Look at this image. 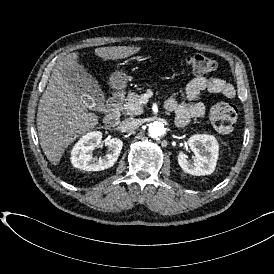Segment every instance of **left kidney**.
Instances as JSON below:
<instances>
[{
    "label": "left kidney",
    "mask_w": 274,
    "mask_h": 274,
    "mask_svg": "<svg viewBox=\"0 0 274 274\" xmlns=\"http://www.w3.org/2000/svg\"><path fill=\"white\" fill-rule=\"evenodd\" d=\"M186 145L194 153L193 162L180 150L177 156L178 165L193 176H204L213 173L218 159V143L213 136L196 134L191 136Z\"/></svg>",
    "instance_id": "obj_1"
}]
</instances>
